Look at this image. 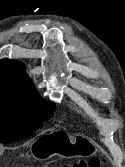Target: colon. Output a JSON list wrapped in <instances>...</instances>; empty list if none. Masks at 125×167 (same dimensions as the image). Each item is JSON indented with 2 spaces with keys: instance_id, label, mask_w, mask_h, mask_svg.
<instances>
[{
  "instance_id": "1",
  "label": "colon",
  "mask_w": 125,
  "mask_h": 167,
  "mask_svg": "<svg viewBox=\"0 0 125 167\" xmlns=\"http://www.w3.org/2000/svg\"><path fill=\"white\" fill-rule=\"evenodd\" d=\"M103 162L101 158H91L88 162L76 161L71 164L64 165L63 167H100Z\"/></svg>"
}]
</instances>
